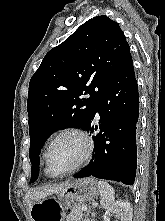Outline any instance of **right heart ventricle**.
<instances>
[{"label": "right heart ventricle", "instance_id": "e07e8e85", "mask_svg": "<svg viewBox=\"0 0 165 221\" xmlns=\"http://www.w3.org/2000/svg\"><path fill=\"white\" fill-rule=\"evenodd\" d=\"M44 171H45L46 175H48V176H52V175L48 172V170H47L46 167H45Z\"/></svg>", "mask_w": 165, "mask_h": 221}]
</instances>
